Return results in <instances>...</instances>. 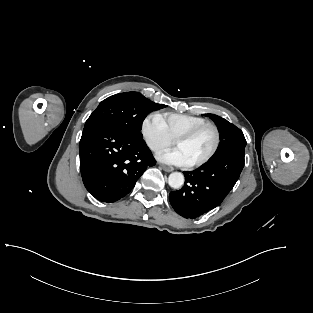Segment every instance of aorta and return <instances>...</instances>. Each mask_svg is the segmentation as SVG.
I'll return each instance as SVG.
<instances>
[{
	"label": "aorta",
	"instance_id": "762f6f07",
	"mask_svg": "<svg viewBox=\"0 0 313 313\" xmlns=\"http://www.w3.org/2000/svg\"><path fill=\"white\" fill-rule=\"evenodd\" d=\"M168 184L174 189H179L184 184V175L180 172H173L169 175Z\"/></svg>",
	"mask_w": 313,
	"mask_h": 313
}]
</instances>
